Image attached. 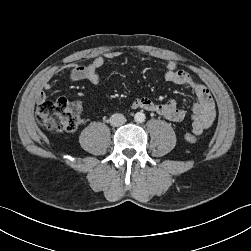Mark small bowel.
Here are the masks:
<instances>
[{"mask_svg": "<svg viewBox=\"0 0 251 251\" xmlns=\"http://www.w3.org/2000/svg\"><path fill=\"white\" fill-rule=\"evenodd\" d=\"M117 56V52H108L104 56H97L87 65L74 64L69 68L68 79L71 82L86 80L93 85H99L98 70L106 59H114ZM164 78L167 82L189 88L195 94L196 102L190 114L174 99L165 103H155L150 98L138 97L133 101L132 107L154 112L173 122H182L190 116L192 131L201 134L216 118V107L210 91L203 84L193 80L186 71L178 69L177 63L173 60L167 61ZM53 87L54 82L50 79H45L41 83V91L37 94L38 103L46 99L43 90H50Z\"/></svg>", "mask_w": 251, "mask_h": 251, "instance_id": "obj_1", "label": "small bowel"}]
</instances>
